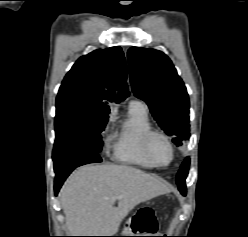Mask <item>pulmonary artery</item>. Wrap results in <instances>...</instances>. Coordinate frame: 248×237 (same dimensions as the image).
<instances>
[{
  "instance_id": "pulmonary-artery-1",
  "label": "pulmonary artery",
  "mask_w": 248,
  "mask_h": 237,
  "mask_svg": "<svg viewBox=\"0 0 248 237\" xmlns=\"http://www.w3.org/2000/svg\"><path fill=\"white\" fill-rule=\"evenodd\" d=\"M130 105H139V106H142L144 108H147L146 104L143 101H140V100H132L130 102Z\"/></svg>"
}]
</instances>
